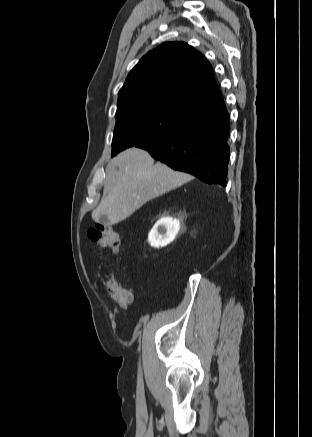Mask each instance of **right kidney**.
Here are the masks:
<instances>
[{
    "instance_id": "1",
    "label": "right kidney",
    "mask_w": 312,
    "mask_h": 437,
    "mask_svg": "<svg viewBox=\"0 0 312 437\" xmlns=\"http://www.w3.org/2000/svg\"><path fill=\"white\" fill-rule=\"evenodd\" d=\"M180 230V222L171 217L162 218L156 222L149 233L148 241L153 247H163L171 243L178 231Z\"/></svg>"
}]
</instances>
